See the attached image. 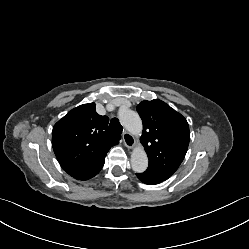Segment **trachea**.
I'll return each mask as SVG.
<instances>
[{
  "instance_id": "1",
  "label": "trachea",
  "mask_w": 249,
  "mask_h": 249,
  "mask_svg": "<svg viewBox=\"0 0 249 249\" xmlns=\"http://www.w3.org/2000/svg\"><path fill=\"white\" fill-rule=\"evenodd\" d=\"M109 126H110V128H111L114 132H116V133H118V134H121L122 131H123L122 125L120 124L119 120L116 119V118H113V119L110 121V125H109Z\"/></svg>"
}]
</instances>
